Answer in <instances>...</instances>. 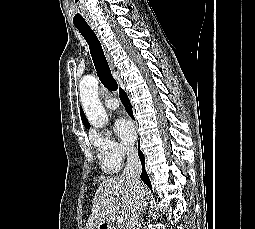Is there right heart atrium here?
I'll return each mask as SVG.
<instances>
[{
	"instance_id": "right-heart-atrium-1",
	"label": "right heart atrium",
	"mask_w": 255,
	"mask_h": 229,
	"mask_svg": "<svg viewBox=\"0 0 255 229\" xmlns=\"http://www.w3.org/2000/svg\"><path fill=\"white\" fill-rule=\"evenodd\" d=\"M93 142L97 148L102 168L106 171L118 170L124 159L134 153L132 147L117 141L108 132L94 135Z\"/></svg>"
}]
</instances>
